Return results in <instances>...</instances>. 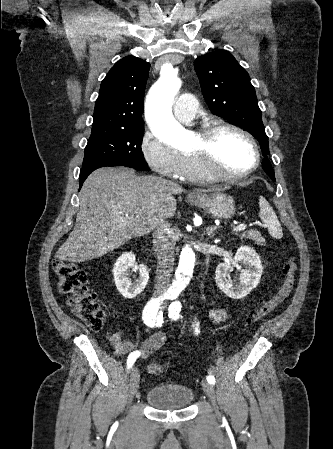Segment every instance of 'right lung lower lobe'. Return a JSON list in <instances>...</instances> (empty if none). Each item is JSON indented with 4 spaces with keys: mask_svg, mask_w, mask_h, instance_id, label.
<instances>
[{
    "mask_svg": "<svg viewBox=\"0 0 333 449\" xmlns=\"http://www.w3.org/2000/svg\"><path fill=\"white\" fill-rule=\"evenodd\" d=\"M96 169H97L96 167H94V168H82V169H81V171H80V179H79V185H80V188H81L83 182L85 181V179L88 177V175H89L90 173H92V172H93L94 170H96ZM135 169H139V170H149L148 168H135Z\"/></svg>",
    "mask_w": 333,
    "mask_h": 449,
    "instance_id": "obj_1",
    "label": "right lung lower lobe"
}]
</instances>
